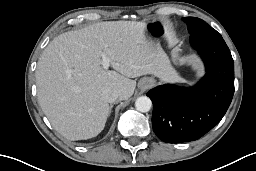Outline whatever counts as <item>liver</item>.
Returning <instances> with one entry per match:
<instances>
[{
    "instance_id": "6515ba94",
    "label": "liver",
    "mask_w": 256,
    "mask_h": 171,
    "mask_svg": "<svg viewBox=\"0 0 256 171\" xmlns=\"http://www.w3.org/2000/svg\"><path fill=\"white\" fill-rule=\"evenodd\" d=\"M146 29L142 22H101L60 34L43 50L36 69L38 100L63 137L86 140L104 129L109 114L102 95L106 88L127 100L136 87L131 78L172 74L165 53L146 36ZM101 54L114 70L103 68Z\"/></svg>"
}]
</instances>
